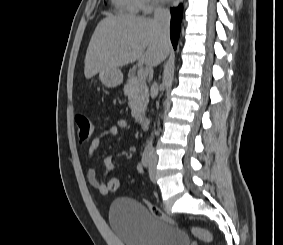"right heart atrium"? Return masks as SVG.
<instances>
[{
    "label": "right heart atrium",
    "mask_w": 283,
    "mask_h": 245,
    "mask_svg": "<svg viewBox=\"0 0 283 245\" xmlns=\"http://www.w3.org/2000/svg\"><path fill=\"white\" fill-rule=\"evenodd\" d=\"M139 8L145 13H149L154 10L157 6L154 0H138Z\"/></svg>",
    "instance_id": "obj_1"
}]
</instances>
